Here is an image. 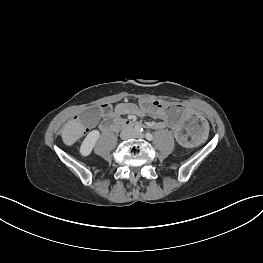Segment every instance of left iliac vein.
Returning <instances> with one entry per match:
<instances>
[{
	"label": "left iliac vein",
	"instance_id": "obj_1",
	"mask_svg": "<svg viewBox=\"0 0 263 263\" xmlns=\"http://www.w3.org/2000/svg\"><path fill=\"white\" fill-rule=\"evenodd\" d=\"M138 136H139V137H141V138H142V137H144V135H143V134H141V133H140V134H138Z\"/></svg>",
	"mask_w": 263,
	"mask_h": 263
}]
</instances>
